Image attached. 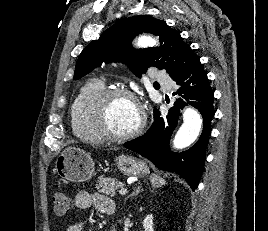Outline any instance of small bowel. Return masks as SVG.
Here are the masks:
<instances>
[{"mask_svg": "<svg viewBox=\"0 0 268 231\" xmlns=\"http://www.w3.org/2000/svg\"><path fill=\"white\" fill-rule=\"evenodd\" d=\"M74 205L78 209H88L93 207L106 215H111L115 211L114 201L110 197L101 193L81 191L76 195ZM83 228V222H76L71 224L66 231H83Z\"/></svg>", "mask_w": 268, "mask_h": 231, "instance_id": "c3829d8e", "label": "small bowel"}]
</instances>
